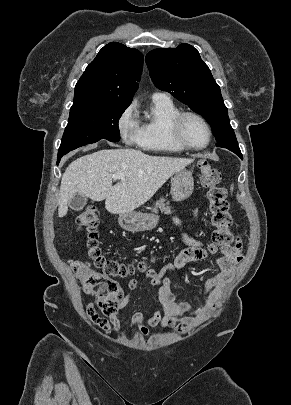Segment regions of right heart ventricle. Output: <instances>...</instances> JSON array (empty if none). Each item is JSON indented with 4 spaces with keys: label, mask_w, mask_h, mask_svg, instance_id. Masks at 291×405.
I'll list each match as a JSON object with an SVG mask.
<instances>
[{
    "label": "right heart ventricle",
    "mask_w": 291,
    "mask_h": 405,
    "mask_svg": "<svg viewBox=\"0 0 291 405\" xmlns=\"http://www.w3.org/2000/svg\"><path fill=\"white\" fill-rule=\"evenodd\" d=\"M180 112L170 98H153L148 113L139 122L137 144L144 150L180 153L185 149L171 136L173 118Z\"/></svg>",
    "instance_id": "right-heart-ventricle-1"
}]
</instances>
